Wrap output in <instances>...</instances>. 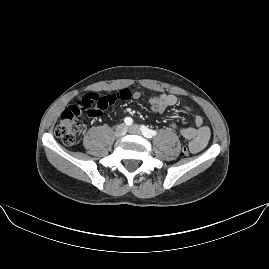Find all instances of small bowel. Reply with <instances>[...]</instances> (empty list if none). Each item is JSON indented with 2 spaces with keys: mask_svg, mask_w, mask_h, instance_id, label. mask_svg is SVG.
Segmentation results:
<instances>
[{
  "mask_svg": "<svg viewBox=\"0 0 269 269\" xmlns=\"http://www.w3.org/2000/svg\"><path fill=\"white\" fill-rule=\"evenodd\" d=\"M142 96L141 91L131 93L133 99H139ZM178 103V97L174 94H155L149 100L151 110L162 113L168 107ZM172 128L178 132L183 138L188 139L189 149L193 154H197L205 149L210 139V129L204 125L202 115L195 114L192 119V125L189 127H179L175 122L172 123Z\"/></svg>",
  "mask_w": 269,
  "mask_h": 269,
  "instance_id": "1",
  "label": "small bowel"
}]
</instances>
